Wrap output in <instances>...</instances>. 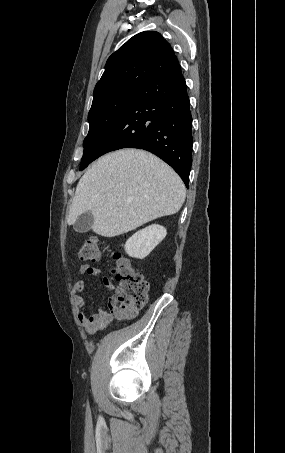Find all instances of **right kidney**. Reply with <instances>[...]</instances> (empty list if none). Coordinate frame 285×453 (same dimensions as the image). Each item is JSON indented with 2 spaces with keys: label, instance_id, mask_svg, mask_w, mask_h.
<instances>
[{
  "label": "right kidney",
  "instance_id": "ca27d5eb",
  "mask_svg": "<svg viewBox=\"0 0 285 453\" xmlns=\"http://www.w3.org/2000/svg\"><path fill=\"white\" fill-rule=\"evenodd\" d=\"M166 229L158 224L136 232L125 243L126 253L133 258L144 259L165 238Z\"/></svg>",
  "mask_w": 285,
  "mask_h": 453
}]
</instances>
